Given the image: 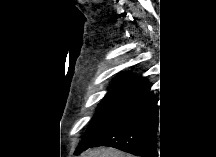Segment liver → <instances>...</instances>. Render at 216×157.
Segmentation results:
<instances>
[{"instance_id":"6515ba94","label":"liver","mask_w":216,"mask_h":157,"mask_svg":"<svg viewBox=\"0 0 216 157\" xmlns=\"http://www.w3.org/2000/svg\"><path fill=\"white\" fill-rule=\"evenodd\" d=\"M81 157H132L131 154L123 153L113 148H98L81 154Z\"/></svg>"}]
</instances>
